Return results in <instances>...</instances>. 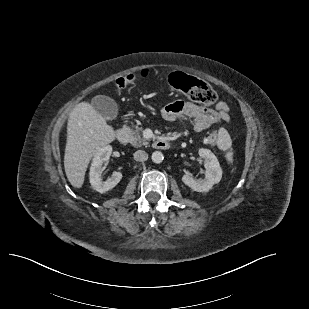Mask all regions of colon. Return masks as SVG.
<instances>
[{"label":"colon","mask_w":309,"mask_h":309,"mask_svg":"<svg viewBox=\"0 0 309 309\" xmlns=\"http://www.w3.org/2000/svg\"><path fill=\"white\" fill-rule=\"evenodd\" d=\"M147 71L140 75H126L116 81L119 89H124L131 85L139 77H146ZM168 83L171 88L188 95L193 101L203 105H212L217 100L216 92L206 82L183 72H175L169 76ZM209 144L216 142V136L210 135L207 138Z\"/></svg>","instance_id":"5ec220e1"}]
</instances>
